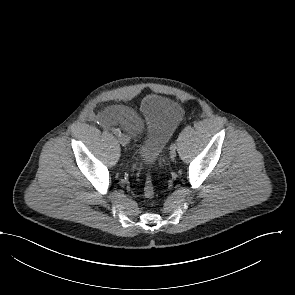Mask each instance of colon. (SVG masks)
Wrapping results in <instances>:
<instances>
[{
  "label": "colon",
  "instance_id": "5ec220e1",
  "mask_svg": "<svg viewBox=\"0 0 295 295\" xmlns=\"http://www.w3.org/2000/svg\"><path fill=\"white\" fill-rule=\"evenodd\" d=\"M143 194L146 198H153L155 195V188L153 182L150 177H147L144 187H143Z\"/></svg>",
  "mask_w": 295,
  "mask_h": 295
}]
</instances>
